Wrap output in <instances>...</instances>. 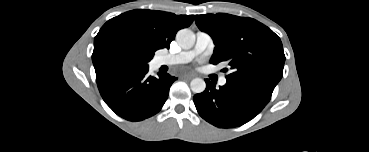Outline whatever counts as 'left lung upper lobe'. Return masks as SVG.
<instances>
[{
  "label": "left lung upper lobe",
  "instance_id": "5c2ea615",
  "mask_svg": "<svg viewBox=\"0 0 369 152\" xmlns=\"http://www.w3.org/2000/svg\"><path fill=\"white\" fill-rule=\"evenodd\" d=\"M195 22L214 41L211 63L229 62L227 80L273 88L281 80L285 62L282 43L267 26L225 13L196 15Z\"/></svg>",
  "mask_w": 369,
  "mask_h": 152
}]
</instances>
